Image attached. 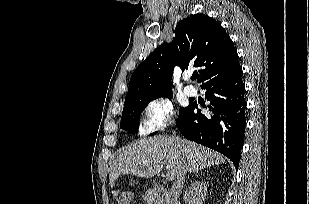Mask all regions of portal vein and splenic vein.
Returning <instances> with one entry per match:
<instances>
[{"instance_id": "portal-vein-and-splenic-vein-1", "label": "portal vein and splenic vein", "mask_w": 309, "mask_h": 204, "mask_svg": "<svg viewBox=\"0 0 309 204\" xmlns=\"http://www.w3.org/2000/svg\"><path fill=\"white\" fill-rule=\"evenodd\" d=\"M162 167H163V166H162ZM166 178H167V179H172V178H173V173L167 172Z\"/></svg>"}]
</instances>
